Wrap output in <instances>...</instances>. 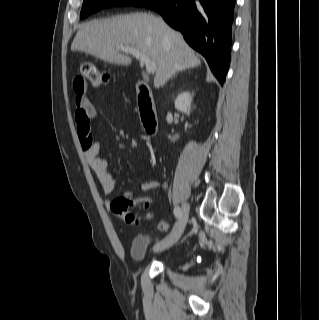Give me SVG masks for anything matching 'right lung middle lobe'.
Segmentation results:
<instances>
[{"mask_svg":"<svg viewBox=\"0 0 319 320\" xmlns=\"http://www.w3.org/2000/svg\"><path fill=\"white\" fill-rule=\"evenodd\" d=\"M151 1L152 0H84L80 17L85 18L90 14L97 12L101 9L114 6L133 5L142 7Z\"/></svg>","mask_w":319,"mask_h":320,"instance_id":"obj_1","label":"right lung middle lobe"}]
</instances>
